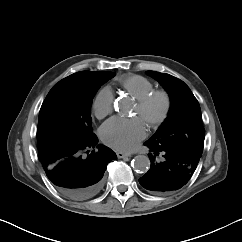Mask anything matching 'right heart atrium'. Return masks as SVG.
Masks as SVG:
<instances>
[{
    "mask_svg": "<svg viewBox=\"0 0 242 242\" xmlns=\"http://www.w3.org/2000/svg\"><path fill=\"white\" fill-rule=\"evenodd\" d=\"M113 93L109 87L101 88L94 97L92 108L98 118H103L111 112L113 106Z\"/></svg>",
    "mask_w": 242,
    "mask_h": 242,
    "instance_id": "1",
    "label": "right heart atrium"
}]
</instances>
